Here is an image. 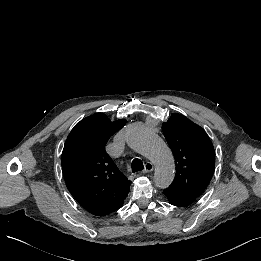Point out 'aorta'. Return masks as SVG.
Returning <instances> with one entry per match:
<instances>
[{
    "instance_id": "1",
    "label": "aorta",
    "mask_w": 261,
    "mask_h": 261,
    "mask_svg": "<svg viewBox=\"0 0 261 261\" xmlns=\"http://www.w3.org/2000/svg\"><path fill=\"white\" fill-rule=\"evenodd\" d=\"M127 144L155 165L154 181L160 188L168 187L175 174L174 158L166 143L152 131L134 126L126 131Z\"/></svg>"
}]
</instances>
